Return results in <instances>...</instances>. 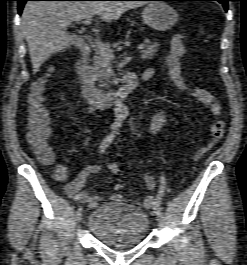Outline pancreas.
<instances>
[{
  "mask_svg": "<svg viewBox=\"0 0 247 265\" xmlns=\"http://www.w3.org/2000/svg\"><path fill=\"white\" fill-rule=\"evenodd\" d=\"M159 44L157 42L147 45V47L141 51V58L143 60L152 59L156 56ZM92 74L95 80L102 88H109L111 84L115 82V73L112 69V59L107 58L100 51L96 52L94 57Z\"/></svg>",
  "mask_w": 247,
  "mask_h": 265,
  "instance_id": "cf45deb5",
  "label": "pancreas"
}]
</instances>
